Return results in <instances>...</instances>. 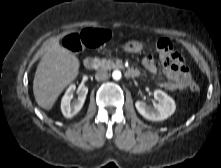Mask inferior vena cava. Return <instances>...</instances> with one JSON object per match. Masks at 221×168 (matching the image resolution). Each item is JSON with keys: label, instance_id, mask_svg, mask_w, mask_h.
<instances>
[{"label": "inferior vena cava", "instance_id": "obj_1", "mask_svg": "<svg viewBox=\"0 0 221 168\" xmlns=\"http://www.w3.org/2000/svg\"><path fill=\"white\" fill-rule=\"evenodd\" d=\"M108 77H109V75H108L107 71H103V70L98 71L95 74V79L97 81H104V80L108 79Z\"/></svg>", "mask_w": 221, "mask_h": 168}]
</instances>
